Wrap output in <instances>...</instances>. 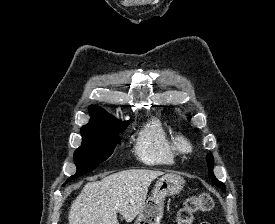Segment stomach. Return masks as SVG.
Returning <instances> with one entry per match:
<instances>
[{"label":"stomach","mask_w":275,"mask_h":224,"mask_svg":"<svg viewBox=\"0 0 275 224\" xmlns=\"http://www.w3.org/2000/svg\"><path fill=\"white\" fill-rule=\"evenodd\" d=\"M184 184V179L179 175L166 174L162 176L156 182L151 196L145 202L134 224H160L165 197L180 193Z\"/></svg>","instance_id":"obj_1"}]
</instances>
